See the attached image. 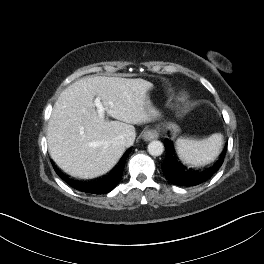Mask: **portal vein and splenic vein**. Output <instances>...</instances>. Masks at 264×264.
Returning <instances> with one entry per match:
<instances>
[{
  "mask_svg": "<svg viewBox=\"0 0 264 264\" xmlns=\"http://www.w3.org/2000/svg\"><path fill=\"white\" fill-rule=\"evenodd\" d=\"M94 106L97 108V112L100 118H104L105 108L101 103L100 97H96L94 100Z\"/></svg>",
  "mask_w": 264,
  "mask_h": 264,
  "instance_id": "obj_1",
  "label": "portal vein and splenic vein"
}]
</instances>
